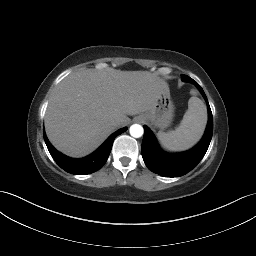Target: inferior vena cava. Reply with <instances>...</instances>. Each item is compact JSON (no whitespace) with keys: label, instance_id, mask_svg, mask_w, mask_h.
Segmentation results:
<instances>
[{"label":"inferior vena cava","instance_id":"obj_1","mask_svg":"<svg viewBox=\"0 0 256 256\" xmlns=\"http://www.w3.org/2000/svg\"><path fill=\"white\" fill-rule=\"evenodd\" d=\"M113 127H114L115 129H120V128L122 127V122H121L120 120H115V121L113 122Z\"/></svg>","mask_w":256,"mask_h":256}]
</instances>
